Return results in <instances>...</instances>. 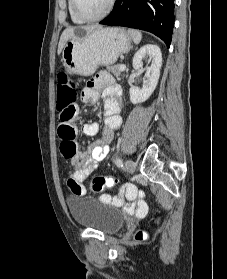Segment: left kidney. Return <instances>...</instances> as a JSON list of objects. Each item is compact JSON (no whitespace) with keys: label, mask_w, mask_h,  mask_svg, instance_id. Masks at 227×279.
Here are the masks:
<instances>
[{"label":"left kidney","mask_w":227,"mask_h":279,"mask_svg":"<svg viewBox=\"0 0 227 279\" xmlns=\"http://www.w3.org/2000/svg\"><path fill=\"white\" fill-rule=\"evenodd\" d=\"M148 57L151 60V65L146 68L142 89L132 86L129 91L133 104L145 102L154 92L160 77L162 53L157 45L147 44L141 47L133 57V68L140 69L142 61Z\"/></svg>","instance_id":"obj_1"}]
</instances>
